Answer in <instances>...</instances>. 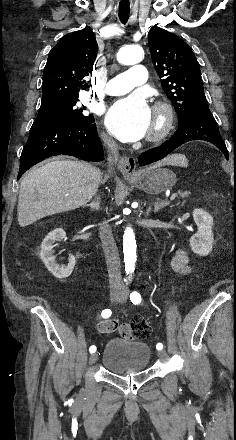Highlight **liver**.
Masks as SVG:
<instances>
[{"label":"liver","instance_id":"liver-1","mask_svg":"<svg viewBox=\"0 0 236 440\" xmlns=\"http://www.w3.org/2000/svg\"><path fill=\"white\" fill-rule=\"evenodd\" d=\"M163 164L187 166L183 155H172ZM101 171L82 161L56 160L30 171L21 181L18 222L26 227L46 216L75 210L95 195Z\"/></svg>","mask_w":236,"mask_h":440}]
</instances>
